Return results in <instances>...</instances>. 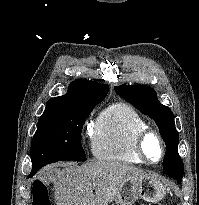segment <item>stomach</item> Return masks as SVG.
I'll return each mask as SVG.
<instances>
[{"mask_svg": "<svg viewBox=\"0 0 199 205\" xmlns=\"http://www.w3.org/2000/svg\"><path fill=\"white\" fill-rule=\"evenodd\" d=\"M165 193V185L157 178L135 175L123 181L114 200L115 205H133L138 198L156 203L165 196Z\"/></svg>", "mask_w": 199, "mask_h": 205, "instance_id": "0dacf381", "label": "stomach"}]
</instances>
